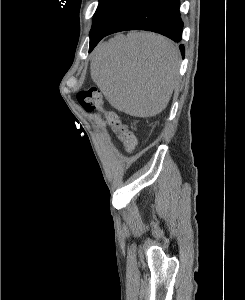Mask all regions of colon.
<instances>
[{
    "instance_id": "obj_1",
    "label": "colon",
    "mask_w": 245,
    "mask_h": 300,
    "mask_svg": "<svg viewBox=\"0 0 245 300\" xmlns=\"http://www.w3.org/2000/svg\"><path fill=\"white\" fill-rule=\"evenodd\" d=\"M77 99L79 104L87 112L102 110L101 94L96 88H89L80 91L77 95ZM106 118L111 126L116 127L119 130L125 150L129 153L133 152L137 145V139L134 133L129 130L125 124L121 123L116 113L109 112L106 115Z\"/></svg>"
}]
</instances>
